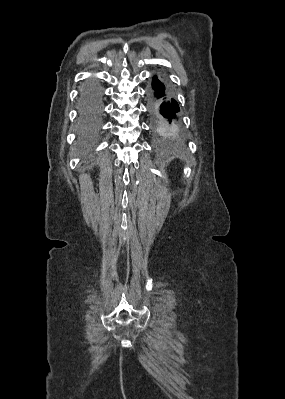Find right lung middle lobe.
<instances>
[{"label":"right lung middle lobe","instance_id":"obj_1","mask_svg":"<svg viewBox=\"0 0 285 399\" xmlns=\"http://www.w3.org/2000/svg\"><path fill=\"white\" fill-rule=\"evenodd\" d=\"M101 108V89L96 83L86 84L81 91L80 111L83 119L95 117Z\"/></svg>","mask_w":285,"mask_h":399}]
</instances>
